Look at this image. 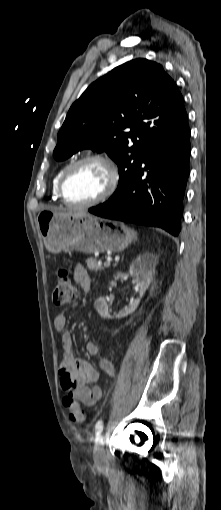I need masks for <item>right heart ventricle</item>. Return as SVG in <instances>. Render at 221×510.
<instances>
[{"label": "right heart ventricle", "instance_id": "right-heart-ventricle-1", "mask_svg": "<svg viewBox=\"0 0 221 510\" xmlns=\"http://www.w3.org/2000/svg\"><path fill=\"white\" fill-rule=\"evenodd\" d=\"M66 168V165L65 166H62L55 174L54 178H53V181H52V194H53V198L55 200H59L60 197L58 195V184H59V180H60V177L64 171V169Z\"/></svg>", "mask_w": 221, "mask_h": 510}]
</instances>
